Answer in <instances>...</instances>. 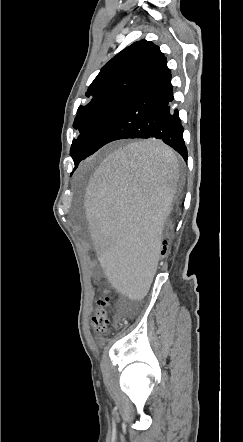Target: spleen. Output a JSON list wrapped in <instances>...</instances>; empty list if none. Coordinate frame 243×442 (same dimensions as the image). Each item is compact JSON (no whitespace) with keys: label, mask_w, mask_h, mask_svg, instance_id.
I'll use <instances>...</instances> for the list:
<instances>
[{"label":"spleen","mask_w":243,"mask_h":442,"mask_svg":"<svg viewBox=\"0 0 243 442\" xmlns=\"http://www.w3.org/2000/svg\"><path fill=\"white\" fill-rule=\"evenodd\" d=\"M178 163L159 141H140L111 154L101 172H92L86 193L95 255L106 279L126 302L147 296L162 245L163 219L171 214ZM158 192V193H142Z\"/></svg>","instance_id":"1"}]
</instances>
